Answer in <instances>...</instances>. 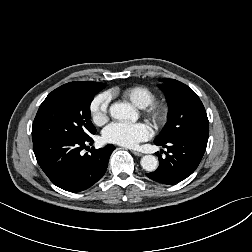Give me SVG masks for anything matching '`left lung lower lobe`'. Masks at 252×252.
<instances>
[{
  "label": "left lung lower lobe",
  "mask_w": 252,
  "mask_h": 252,
  "mask_svg": "<svg viewBox=\"0 0 252 252\" xmlns=\"http://www.w3.org/2000/svg\"><path fill=\"white\" fill-rule=\"evenodd\" d=\"M208 136L201 134H186L168 142H156L167 148L166 158L157 152L159 167L146 175L159 183L171 185L178 183L191 175L198 167L206 150Z\"/></svg>",
  "instance_id": "left-lung-lower-lobe-1"
}]
</instances>
